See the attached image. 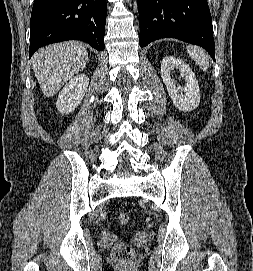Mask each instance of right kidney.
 <instances>
[{
    "mask_svg": "<svg viewBox=\"0 0 253 271\" xmlns=\"http://www.w3.org/2000/svg\"><path fill=\"white\" fill-rule=\"evenodd\" d=\"M89 84L85 74L72 78L59 93L56 107L62 114L73 112L81 103Z\"/></svg>",
    "mask_w": 253,
    "mask_h": 271,
    "instance_id": "ca27d5eb",
    "label": "right kidney"
}]
</instances>
